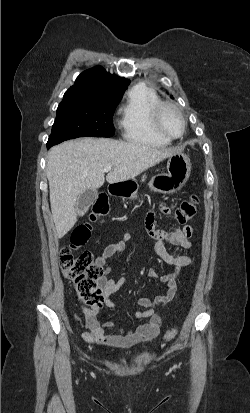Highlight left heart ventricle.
I'll return each mask as SVG.
<instances>
[{"label": "left heart ventricle", "instance_id": "left-heart-ventricle-1", "mask_svg": "<svg viewBox=\"0 0 250 413\" xmlns=\"http://www.w3.org/2000/svg\"><path fill=\"white\" fill-rule=\"evenodd\" d=\"M161 125L167 133L173 136L179 135L182 131V122L179 116L170 109L163 111L161 116Z\"/></svg>", "mask_w": 250, "mask_h": 413}]
</instances>
